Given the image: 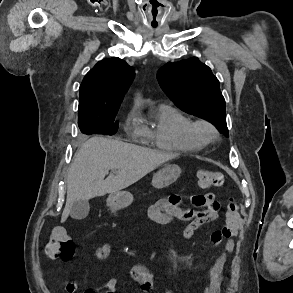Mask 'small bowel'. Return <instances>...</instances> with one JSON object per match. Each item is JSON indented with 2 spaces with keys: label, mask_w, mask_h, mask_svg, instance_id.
<instances>
[{
  "label": "small bowel",
  "mask_w": 293,
  "mask_h": 293,
  "mask_svg": "<svg viewBox=\"0 0 293 293\" xmlns=\"http://www.w3.org/2000/svg\"><path fill=\"white\" fill-rule=\"evenodd\" d=\"M192 203L196 209H183L181 207L180 195L171 194L168 198L160 199L151 205L148 209V217L158 224H167L175 220L188 222V225L183 229L182 233L183 238L188 241L192 239L195 232L203 224L216 219L219 210V204L215 194L212 192L194 195L192 197ZM210 238L213 244H223L227 252L234 250L235 240L232 236L226 237L220 231H213ZM111 251V244L105 242L95 248L93 256L96 259L103 260L111 254ZM226 260L227 255L225 253L217 257L209 270V283L203 293H218ZM130 277L139 285L144 293L151 292L154 285V274L147 266L142 264L133 265L130 271ZM119 282L120 276L114 275L99 289L81 290L74 282H68L65 289L67 293H118ZM164 293H175V291L166 289Z\"/></svg>",
  "instance_id": "c3829d8e"
}]
</instances>
